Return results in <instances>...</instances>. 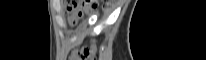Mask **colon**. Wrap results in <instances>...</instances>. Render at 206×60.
Here are the masks:
<instances>
[{
	"label": "colon",
	"mask_w": 206,
	"mask_h": 60,
	"mask_svg": "<svg viewBox=\"0 0 206 60\" xmlns=\"http://www.w3.org/2000/svg\"><path fill=\"white\" fill-rule=\"evenodd\" d=\"M96 0H72L66 1L65 9L69 13H76V15H81L83 10L93 9L96 6ZM91 51L84 49L80 51L77 56L79 60H87L90 57Z\"/></svg>",
	"instance_id": "obj_1"
}]
</instances>
